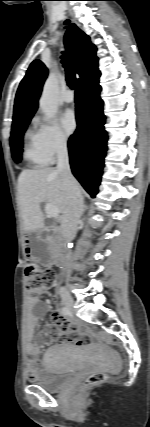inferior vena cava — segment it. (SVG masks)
Instances as JSON below:
<instances>
[{
    "instance_id": "inferior-vena-cava-1",
    "label": "inferior vena cava",
    "mask_w": 150,
    "mask_h": 427,
    "mask_svg": "<svg viewBox=\"0 0 150 427\" xmlns=\"http://www.w3.org/2000/svg\"><path fill=\"white\" fill-rule=\"evenodd\" d=\"M57 171L61 174L66 191V207L61 220V232L66 242L75 235L80 217L83 213V197L78 183L71 173L66 142L57 146Z\"/></svg>"
}]
</instances>
